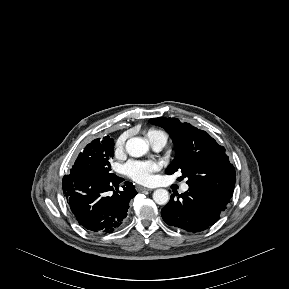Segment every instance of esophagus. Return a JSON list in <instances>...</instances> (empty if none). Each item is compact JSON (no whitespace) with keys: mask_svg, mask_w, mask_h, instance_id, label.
Segmentation results:
<instances>
[{"mask_svg":"<svg viewBox=\"0 0 289 289\" xmlns=\"http://www.w3.org/2000/svg\"><path fill=\"white\" fill-rule=\"evenodd\" d=\"M137 191H151L152 189L143 187V186H136Z\"/></svg>","mask_w":289,"mask_h":289,"instance_id":"34e87169","label":"esophagus"}]
</instances>
